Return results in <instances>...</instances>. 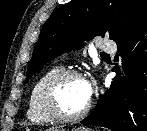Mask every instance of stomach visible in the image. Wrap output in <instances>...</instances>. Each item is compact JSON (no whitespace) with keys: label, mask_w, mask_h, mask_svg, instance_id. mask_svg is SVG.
<instances>
[{"label":"stomach","mask_w":147,"mask_h":131,"mask_svg":"<svg viewBox=\"0 0 147 131\" xmlns=\"http://www.w3.org/2000/svg\"><path fill=\"white\" fill-rule=\"evenodd\" d=\"M53 131H66V129H64V128H58V129L53 130ZM71 131H92V130L89 129V128L82 127V128H73Z\"/></svg>","instance_id":"stomach-1"}]
</instances>
